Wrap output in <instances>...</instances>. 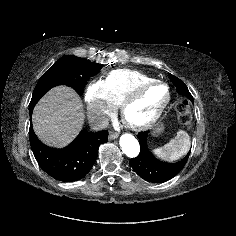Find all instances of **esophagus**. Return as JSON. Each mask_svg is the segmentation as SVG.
Returning a JSON list of instances; mask_svg holds the SVG:
<instances>
[{
  "mask_svg": "<svg viewBox=\"0 0 236 236\" xmlns=\"http://www.w3.org/2000/svg\"><path fill=\"white\" fill-rule=\"evenodd\" d=\"M118 137V134L116 132H109V139L113 140L116 139Z\"/></svg>",
  "mask_w": 236,
  "mask_h": 236,
  "instance_id": "obj_1",
  "label": "esophagus"
}]
</instances>
